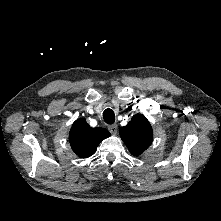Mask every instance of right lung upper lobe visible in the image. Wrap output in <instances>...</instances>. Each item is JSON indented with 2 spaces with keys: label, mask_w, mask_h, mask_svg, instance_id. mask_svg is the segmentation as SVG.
Segmentation results:
<instances>
[{
  "label": "right lung upper lobe",
  "mask_w": 221,
  "mask_h": 221,
  "mask_svg": "<svg viewBox=\"0 0 221 221\" xmlns=\"http://www.w3.org/2000/svg\"><path fill=\"white\" fill-rule=\"evenodd\" d=\"M110 135L104 128H91L86 120L77 119L70 130L69 141L78 156L87 158L95 152L100 142Z\"/></svg>",
  "instance_id": "right-lung-upper-lobe-1"
}]
</instances>
